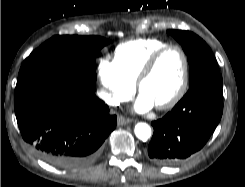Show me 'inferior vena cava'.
I'll return each instance as SVG.
<instances>
[{"label": "inferior vena cava", "instance_id": "obj_1", "mask_svg": "<svg viewBox=\"0 0 245 187\" xmlns=\"http://www.w3.org/2000/svg\"><path fill=\"white\" fill-rule=\"evenodd\" d=\"M102 93H104L103 90H99V91H98V95H99V96H100ZM105 100H106L109 104H111V105H116V104H117V101H116V100L111 99V98L108 97V96L105 97Z\"/></svg>", "mask_w": 245, "mask_h": 187}]
</instances>
